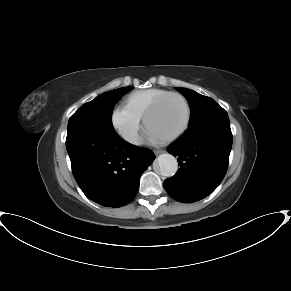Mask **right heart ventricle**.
Returning <instances> with one entry per match:
<instances>
[{"instance_id": "1", "label": "right heart ventricle", "mask_w": 291, "mask_h": 291, "mask_svg": "<svg viewBox=\"0 0 291 291\" xmlns=\"http://www.w3.org/2000/svg\"><path fill=\"white\" fill-rule=\"evenodd\" d=\"M168 91L159 88H149L130 93L126 99V105L141 117L149 107Z\"/></svg>"}]
</instances>
